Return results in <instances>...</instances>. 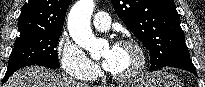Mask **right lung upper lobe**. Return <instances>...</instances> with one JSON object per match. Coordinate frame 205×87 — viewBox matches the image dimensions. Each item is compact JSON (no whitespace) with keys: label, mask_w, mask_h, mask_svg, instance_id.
<instances>
[{"label":"right lung upper lobe","mask_w":205,"mask_h":87,"mask_svg":"<svg viewBox=\"0 0 205 87\" xmlns=\"http://www.w3.org/2000/svg\"><path fill=\"white\" fill-rule=\"evenodd\" d=\"M70 0H29L22 7L18 30H62Z\"/></svg>","instance_id":"1"}]
</instances>
